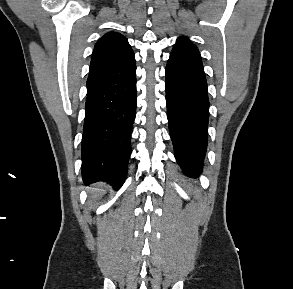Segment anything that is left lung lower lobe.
<instances>
[{"mask_svg": "<svg viewBox=\"0 0 293 289\" xmlns=\"http://www.w3.org/2000/svg\"><path fill=\"white\" fill-rule=\"evenodd\" d=\"M166 102L175 158L185 175L202 172L207 149L209 100L201 59L170 54L166 66Z\"/></svg>", "mask_w": 293, "mask_h": 289, "instance_id": "0a47b994", "label": "left lung lower lobe"}]
</instances>
